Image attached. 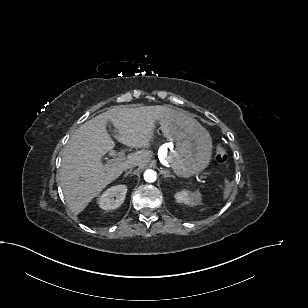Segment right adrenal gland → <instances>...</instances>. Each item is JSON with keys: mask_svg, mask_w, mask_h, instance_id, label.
Listing matches in <instances>:
<instances>
[{"mask_svg": "<svg viewBox=\"0 0 308 308\" xmlns=\"http://www.w3.org/2000/svg\"><path fill=\"white\" fill-rule=\"evenodd\" d=\"M129 174H132V172L131 171L126 172L124 177H127Z\"/></svg>", "mask_w": 308, "mask_h": 308, "instance_id": "obj_1", "label": "right adrenal gland"}]
</instances>
